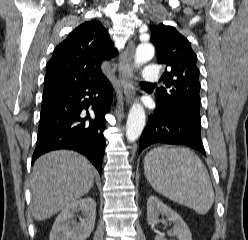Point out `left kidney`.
Returning a JSON list of instances; mask_svg holds the SVG:
<instances>
[{"label": "left kidney", "instance_id": "1", "mask_svg": "<svg viewBox=\"0 0 248 240\" xmlns=\"http://www.w3.org/2000/svg\"><path fill=\"white\" fill-rule=\"evenodd\" d=\"M165 216L173 223L172 235L178 240H192L191 232L178 213L169 208L158 198L150 196L147 200V221L149 225H156L160 222L159 216ZM155 240H166L163 235H156Z\"/></svg>", "mask_w": 248, "mask_h": 240}]
</instances>
